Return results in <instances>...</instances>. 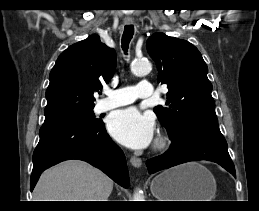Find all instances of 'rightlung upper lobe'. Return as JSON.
Here are the masks:
<instances>
[{"mask_svg":"<svg viewBox=\"0 0 259 211\" xmlns=\"http://www.w3.org/2000/svg\"><path fill=\"white\" fill-rule=\"evenodd\" d=\"M116 68V53L91 35L68 47L50 72L43 125L93 110V93L108 83Z\"/></svg>","mask_w":259,"mask_h":211,"instance_id":"1","label":"right lung upper lobe"}]
</instances>
